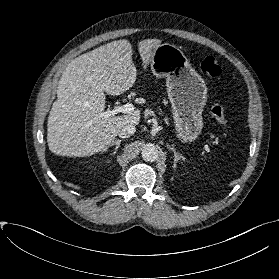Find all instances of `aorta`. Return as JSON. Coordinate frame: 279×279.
Returning <instances> with one entry per match:
<instances>
[{"instance_id": "aorta-1", "label": "aorta", "mask_w": 279, "mask_h": 279, "mask_svg": "<svg viewBox=\"0 0 279 279\" xmlns=\"http://www.w3.org/2000/svg\"><path fill=\"white\" fill-rule=\"evenodd\" d=\"M141 154L142 158L148 162H153L158 158V150L153 144H146Z\"/></svg>"}]
</instances>
